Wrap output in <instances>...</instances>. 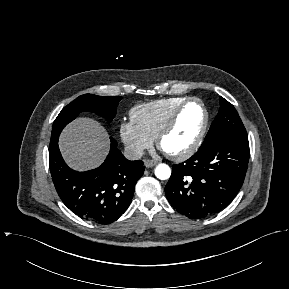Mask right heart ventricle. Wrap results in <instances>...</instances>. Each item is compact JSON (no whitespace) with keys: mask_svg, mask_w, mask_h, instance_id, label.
<instances>
[{"mask_svg":"<svg viewBox=\"0 0 289 289\" xmlns=\"http://www.w3.org/2000/svg\"><path fill=\"white\" fill-rule=\"evenodd\" d=\"M187 97H169L140 104L130 111L131 120L155 139L174 110Z\"/></svg>","mask_w":289,"mask_h":289,"instance_id":"right-heart-ventricle-1","label":"right heart ventricle"}]
</instances>
